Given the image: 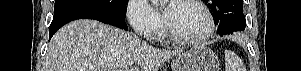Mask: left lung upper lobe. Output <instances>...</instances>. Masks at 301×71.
<instances>
[{"label":"left lung upper lobe","instance_id":"5c2ea615","mask_svg":"<svg viewBox=\"0 0 301 71\" xmlns=\"http://www.w3.org/2000/svg\"><path fill=\"white\" fill-rule=\"evenodd\" d=\"M218 22L230 13H243V0H204Z\"/></svg>","mask_w":301,"mask_h":71}]
</instances>
